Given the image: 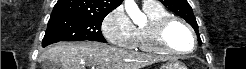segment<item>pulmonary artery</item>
I'll return each instance as SVG.
<instances>
[{
    "mask_svg": "<svg viewBox=\"0 0 246 69\" xmlns=\"http://www.w3.org/2000/svg\"><path fill=\"white\" fill-rule=\"evenodd\" d=\"M144 4L154 5V4H158V2H156V1H145Z\"/></svg>",
    "mask_w": 246,
    "mask_h": 69,
    "instance_id": "obj_1",
    "label": "pulmonary artery"
}]
</instances>
